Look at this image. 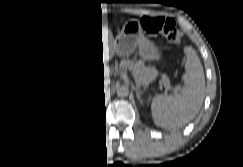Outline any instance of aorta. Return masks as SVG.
Listing matches in <instances>:
<instances>
[{
    "label": "aorta",
    "instance_id": "762f6f07",
    "mask_svg": "<svg viewBox=\"0 0 243 167\" xmlns=\"http://www.w3.org/2000/svg\"><path fill=\"white\" fill-rule=\"evenodd\" d=\"M129 94V88L127 86H120L117 89V95L120 97H126Z\"/></svg>",
    "mask_w": 243,
    "mask_h": 167
}]
</instances>
